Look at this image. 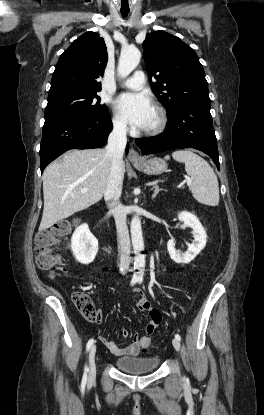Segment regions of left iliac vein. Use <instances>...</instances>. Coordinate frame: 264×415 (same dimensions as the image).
Instances as JSON below:
<instances>
[{
    "instance_id": "1",
    "label": "left iliac vein",
    "mask_w": 264,
    "mask_h": 415,
    "mask_svg": "<svg viewBox=\"0 0 264 415\" xmlns=\"http://www.w3.org/2000/svg\"><path fill=\"white\" fill-rule=\"evenodd\" d=\"M172 344H173L174 348H175L177 351H179V350H180V342H179V340H178V339L174 338V339L172 340Z\"/></svg>"
}]
</instances>
